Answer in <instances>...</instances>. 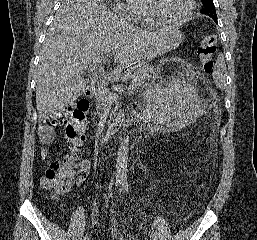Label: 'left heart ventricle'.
<instances>
[{
    "label": "left heart ventricle",
    "instance_id": "1",
    "mask_svg": "<svg viewBox=\"0 0 257 240\" xmlns=\"http://www.w3.org/2000/svg\"><path fill=\"white\" fill-rule=\"evenodd\" d=\"M188 6V0H155L157 11L168 19L182 17L186 13Z\"/></svg>",
    "mask_w": 257,
    "mask_h": 240
}]
</instances>
